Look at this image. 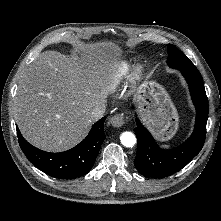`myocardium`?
<instances>
[{
    "instance_id": "f54148a6",
    "label": "myocardium",
    "mask_w": 221,
    "mask_h": 221,
    "mask_svg": "<svg viewBox=\"0 0 221 221\" xmlns=\"http://www.w3.org/2000/svg\"><path fill=\"white\" fill-rule=\"evenodd\" d=\"M144 75V67L141 64H138L134 67L131 75V80L134 84L138 83Z\"/></svg>"
}]
</instances>
